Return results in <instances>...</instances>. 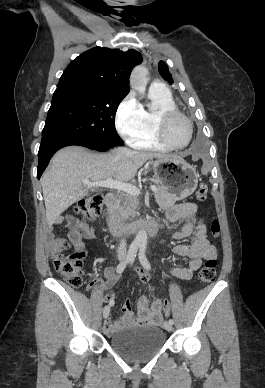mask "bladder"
<instances>
[{"label":"bladder","mask_w":265,"mask_h":388,"mask_svg":"<svg viewBox=\"0 0 265 388\" xmlns=\"http://www.w3.org/2000/svg\"><path fill=\"white\" fill-rule=\"evenodd\" d=\"M165 340V333L157 326L129 328L111 336L110 346L123 357L140 361L157 352Z\"/></svg>","instance_id":"bladder-1"}]
</instances>
